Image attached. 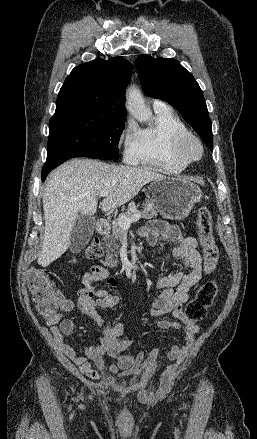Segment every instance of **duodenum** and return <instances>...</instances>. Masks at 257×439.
Here are the masks:
<instances>
[{"label": "duodenum", "instance_id": "1", "mask_svg": "<svg viewBox=\"0 0 257 439\" xmlns=\"http://www.w3.org/2000/svg\"><path fill=\"white\" fill-rule=\"evenodd\" d=\"M97 231L101 235H106L109 231V223L106 220H99L97 222Z\"/></svg>", "mask_w": 257, "mask_h": 439}]
</instances>
